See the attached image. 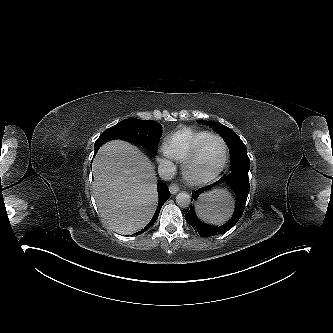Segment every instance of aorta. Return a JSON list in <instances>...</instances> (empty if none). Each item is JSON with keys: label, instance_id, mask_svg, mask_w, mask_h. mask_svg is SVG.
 I'll list each match as a JSON object with an SVG mask.
<instances>
[{"label": "aorta", "instance_id": "1", "mask_svg": "<svg viewBox=\"0 0 333 333\" xmlns=\"http://www.w3.org/2000/svg\"><path fill=\"white\" fill-rule=\"evenodd\" d=\"M191 202V197L188 193L186 192H180L176 196V203L178 206L182 208H186L189 206Z\"/></svg>", "mask_w": 333, "mask_h": 333}]
</instances>
